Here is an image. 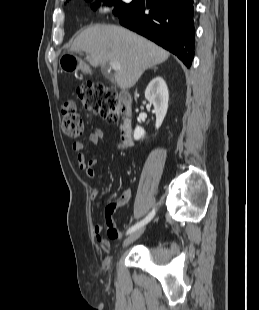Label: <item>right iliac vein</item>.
Listing matches in <instances>:
<instances>
[{
	"label": "right iliac vein",
	"mask_w": 259,
	"mask_h": 310,
	"mask_svg": "<svg viewBox=\"0 0 259 310\" xmlns=\"http://www.w3.org/2000/svg\"><path fill=\"white\" fill-rule=\"evenodd\" d=\"M145 228H139L137 230H135L134 232H132L124 241L123 243V247H127L130 244H132L133 242H135L144 232Z\"/></svg>",
	"instance_id": "right-iliac-vein-1"
}]
</instances>
